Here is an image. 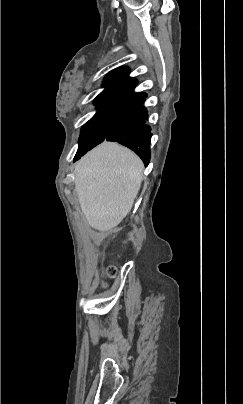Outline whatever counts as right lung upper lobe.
<instances>
[{"label":"right lung upper lobe","mask_w":243,"mask_h":404,"mask_svg":"<svg viewBox=\"0 0 243 404\" xmlns=\"http://www.w3.org/2000/svg\"><path fill=\"white\" fill-rule=\"evenodd\" d=\"M128 74L129 69L125 67L109 72L103 84L105 89L96 97L95 104L119 103L129 105L146 97L145 93L133 92L137 81L129 77Z\"/></svg>","instance_id":"cb5924a9"}]
</instances>
